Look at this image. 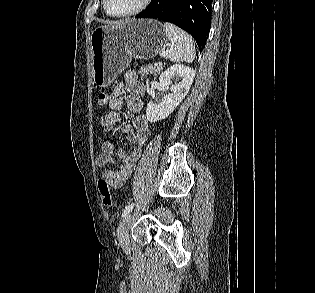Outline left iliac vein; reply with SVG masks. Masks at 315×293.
<instances>
[{"label":"left iliac vein","mask_w":315,"mask_h":293,"mask_svg":"<svg viewBox=\"0 0 315 293\" xmlns=\"http://www.w3.org/2000/svg\"><path fill=\"white\" fill-rule=\"evenodd\" d=\"M131 218H132V213H128L126 216L123 217L119 226L118 239H119L120 246L123 249H127L129 246L128 229L131 222Z\"/></svg>","instance_id":"4c4485c4"}]
</instances>
